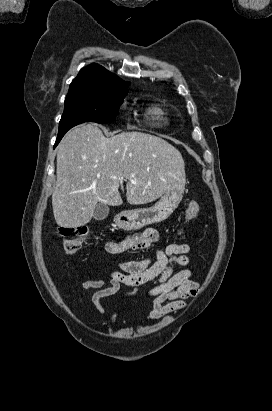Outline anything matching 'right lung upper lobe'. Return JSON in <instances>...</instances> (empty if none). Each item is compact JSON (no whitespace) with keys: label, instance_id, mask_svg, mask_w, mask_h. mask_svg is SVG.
<instances>
[{"label":"right lung upper lobe","instance_id":"right-lung-upper-lobe-1","mask_svg":"<svg viewBox=\"0 0 272 411\" xmlns=\"http://www.w3.org/2000/svg\"><path fill=\"white\" fill-rule=\"evenodd\" d=\"M128 84L104 67L94 63L80 70L77 77L70 84L68 93L93 91L102 88L127 90L125 87Z\"/></svg>","mask_w":272,"mask_h":411}]
</instances>
